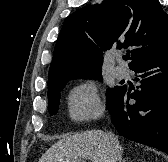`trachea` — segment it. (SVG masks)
Masks as SVG:
<instances>
[{"instance_id": "1", "label": "trachea", "mask_w": 168, "mask_h": 162, "mask_svg": "<svg viewBox=\"0 0 168 162\" xmlns=\"http://www.w3.org/2000/svg\"><path fill=\"white\" fill-rule=\"evenodd\" d=\"M124 59H125V60H129V59H130V56H124Z\"/></svg>"}]
</instances>
